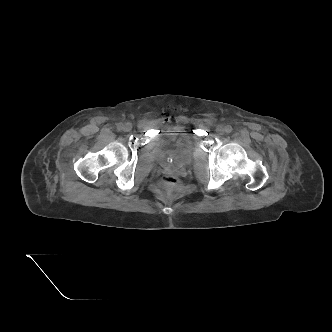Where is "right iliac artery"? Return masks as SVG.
Here are the masks:
<instances>
[{
  "mask_svg": "<svg viewBox=\"0 0 332 332\" xmlns=\"http://www.w3.org/2000/svg\"><path fill=\"white\" fill-rule=\"evenodd\" d=\"M122 127H123V124H122V123H119V124L117 125V129H118V130H122Z\"/></svg>",
  "mask_w": 332,
  "mask_h": 332,
  "instance_id": "right-iliac-artery-1",
  "label": "right iliac artery"
}]
</instances>
